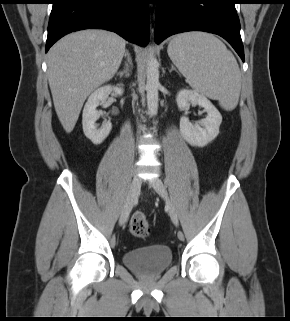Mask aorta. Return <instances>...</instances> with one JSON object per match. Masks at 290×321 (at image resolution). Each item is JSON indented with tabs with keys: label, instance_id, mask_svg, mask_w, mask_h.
<instances>
[{
	"label": "aorta",
	"instance_id": "762f6f07",
	"mask_svg": "<svg viewBox=\"0 0 290 321\" xmlns=\"http://www.w3.org/2000/svg\"><path fill=\"white\" fill-rule=\"evenodd\" d=\"M159 82V64L153 53H150L147 62V107L150 115H156L158 111V89Z\"/></svg>",
	"mask_w": 290,
	"mask_h": 321
}]
</instances>
